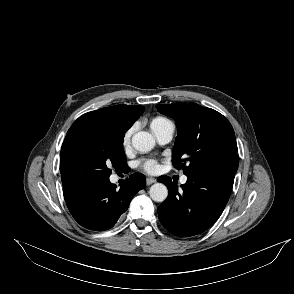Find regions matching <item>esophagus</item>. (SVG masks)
I'll list each match as a JSON object with an SVG mask.
<instances>
[{
	"mask_svg": "<svg viewBox=\"0 0 294 294\" xmlns=\"http://www.w3.org/2000/svg\"><path fill=\"white\" fill-rule=\"evenodd\" d=\"M155 182H156V179H154V178L148 177V178L146 179V184H147V185H151V184H153V183H155Z\"/></svg>",
	"mask_w": 294,
	"mask_h": 294,
	"instance_id": "1",
	"label": "esophagus"
}]
</instances>
